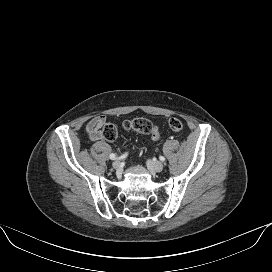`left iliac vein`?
<instances>
[{
    "label": "left iliac vein",
    "instance_id": "left-iliac-vein-1",
    "mask_svg": "<svg viewBox=\"0 0 272 272\" xmlns=\"http://www.w3.org/2000/svg\"><path fill=\"white\" fill-rule=\"evenodd\" d=\"M147 166L151 171L154 172H161L164 168V165L160 161H154V160H149L147 162Z\"/></svg>",
    "mask_w": 272,
    "mask_h": 272
}]
</instances>
